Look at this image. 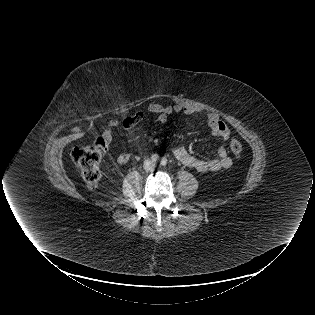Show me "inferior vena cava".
<instances>
[{
  "mask_svg": "<svg viewBox=\"0 0 315 315\" xmlns=\"http://www.w3.org/2000/svg\"><path fill=\"white\" fill-rule=\"evenodd\" d=\"M154 166V163L153 162H148V164L145 165V169L149 170V169H152Z\"/></svg>",
  "mask_w": 315,
  "mask_h": 315,
  "instance_id": "1",
  "label": "inferior vena cava"
}]
</instances>
